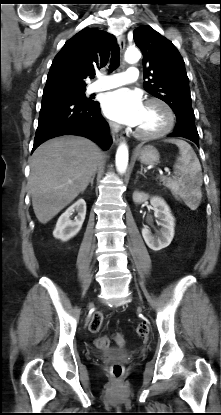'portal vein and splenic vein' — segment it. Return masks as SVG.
<instances>
[{"instance_id": "18ae733b", "label": "portal vein and splenic vein", "mask_w": 221, "mask_h": 415, "mask_svg": "<svg viewBox=\"0 0 221 415\" xmlns=\"http://www.w3.org/2000/svg\"><path fill=\"white\" fill-rule=\"evenodd\" d=\"M168 175H170V171L168 169L165 170Z\"/></svg>"}]
</instances>
